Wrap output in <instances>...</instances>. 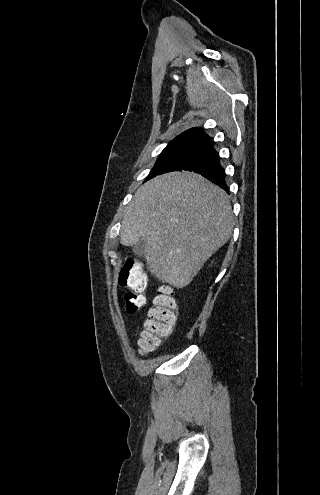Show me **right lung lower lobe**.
<instances>
[{
	"label": "right lung lower lobe",
	"instance_id": "right-lung-lower-lobe-1",
	"mask_svg": "<svg viewBox=\"0 0 320 495\" xmlns=\"http://www.w3.org/2000/svg\"><path fill=\"white\" fill-rule=\"evenodd\" d=\"M188 170L201 174L226 192L225 171L220 164V157L210 141L206 142L187 162L177 171Z\"/></svg>",
	"mask_w": 320,
	"mask_h": 495
}]
</instances>
